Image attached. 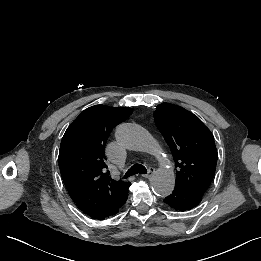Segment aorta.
Wrapping results in <instances>:
<instances>
[{
  "label": "aorta",
  "instance_id": "1",
  "mask_svg": "<svg viewBox=\"0 0 261 261\" xmlns=\"http://www.w3.org/2000/svg\"><path fill=\"white\" fill-rule=\"evenodd\" d=\"M116 140L120 146L129 150L151 153L161 161L162 167L151 177V186L155 194L161 197L169 196L175 186V175L169 166V161L162 155V149L157 141L143 127L133 123H124L116 129Z\"/></svg>",
  "mask_w": 261,
  "mask_h": 261
}]
</instances>
